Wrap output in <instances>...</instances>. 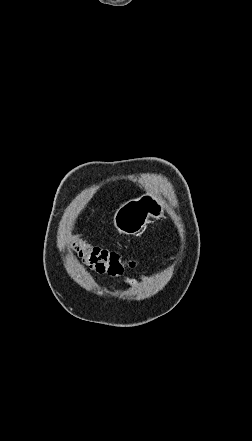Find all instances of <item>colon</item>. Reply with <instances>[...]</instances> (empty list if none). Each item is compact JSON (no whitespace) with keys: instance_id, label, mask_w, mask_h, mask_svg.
<instances>
[{"instance_id":"colon-1","label":"colon","mask_w":252,"mask_h":441,"mask_svg":"<svg viewBox=\"0 0 252 441\" xmlns=\"http://www.w3.org/2000/svg\"><path fill=\"white\" fill-rule=\"evenodd\" d=\"M73 248L98 273L116 276L121 275L126 268L135 266L133 260H125L117 251L93 246L78 236L74 239Z\"/></svg>"}]
</instances>
